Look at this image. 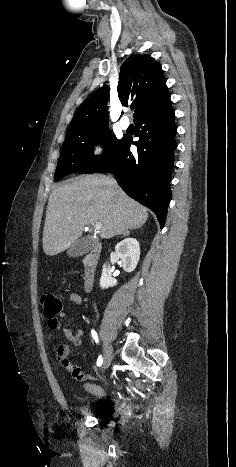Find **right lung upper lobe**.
I'll return each instance as SVG.
<instances>
[{
  "mask_svg": "<svg viewBox=\"0 0 236 467\" xmlns=\"http://www.w3.org/2000/svg\"><path fill=\"white\" fill-rule=\"evenodd\" d=\"M118 97L123 105L134 100V121L169 98L161 68L150 55L130 56L120 68ZM108 86L97 89L77 109L67 134L85 133L108 127Z\"/></svg>",
  "mask_w": 236,
  "mask_h": 467,
  "instance_id": "right-lung-upper-lobe-1",
  "label": "right lung upper lobe"
}]
</instances>
